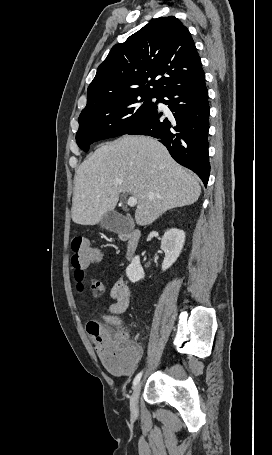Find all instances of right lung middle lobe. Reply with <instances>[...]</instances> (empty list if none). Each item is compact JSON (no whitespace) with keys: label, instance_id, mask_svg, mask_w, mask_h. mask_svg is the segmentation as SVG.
Here are the masks:
<instances>
[{"label":"right lung middle lobe","instance_id":"1","mask_svg":"<svg viewBox=\"0 0 272 455\" xmlns=\"http://www.w3.org/2000/svg\"><path fill=\"white\" fill-rule=\"evenodd\" d=\"M157 98V102H152ZM159 95L141 94L108 103L79 116L78 146L85 152L98 140L127 134L157 109Z\"/></svg>","mask_w":272,"mask_h":455}]
</instances>
